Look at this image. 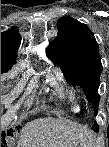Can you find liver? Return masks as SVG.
Returning a JSON list of instances; mask_svg holds the SVG:
<instances>
[{
    "instance_id": "6515ba94",
    "label": "liver",
    "mask_w": 109,
    "mask_h": 147,
    "mask_svg": "<svg viewBox=\"0 0 109 147\" xmlns=\"http://www.w3.org/2000/svg\"><path fill=\"white\" fill-rule=\"evenodd\" d=\"M92 133L76 124L53 118H39L23 128L17 147H86Z\"/></svg>"
}]
</instances>
